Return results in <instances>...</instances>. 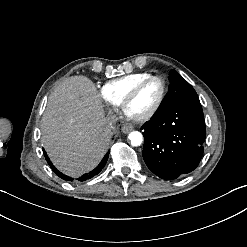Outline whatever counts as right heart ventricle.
Returning <instances> with one entry per match:
<instances>
[{
	"label": "right heart ventricle",
	"mask_w": 247,
	"mask_h": 247,
	"mask_svg": "<svg viewBox=\"0 0 247 247\" xmlns=\"http://www.w3.org/2000/svg\"><path fill=\"white\" fill-rule=\"evenodd\" d=\"M150 73L132 74L109 81L104 87V98L112 104H120L132 87Z\"/></svg>",
	"instance_id": "1"
}]
</instances>
